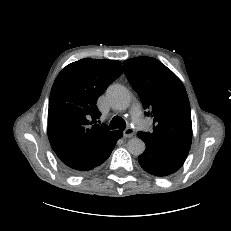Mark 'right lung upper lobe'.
Returning <instances> with one entry per match:
<instances>
[{"label": "right lung upper lobe", "mask_w": 231, "mask_h": 231, "mask_svg": "<svg viewBox=\"0 0 231 231\" xmlns=\"http://www.w3.org/2000/svg\"><path fill=\"white\" fill-rule=\"evenodd\" d=\"M122 74L121 62L85 58L67 65L56 77L50 94L48 138L53 150L86 146L113 131L96 124V102Z\"/></svg>", "instance_id": "cb5924a9"}]
</instances>
